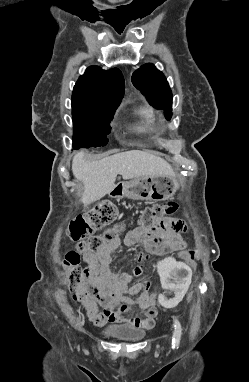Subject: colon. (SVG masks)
Masks as SVG:
<instances>
[{
  "mask_svg": "<svg viewBox=\"0 0 249 382\" xmlns=\"http://www.w3.org/2000/svg\"><path fill=\"white\" fill-rule=\"evenodd\" d=\"M178 208L179 204L174 201L147 206L140 211L137 223L141 228H150L165 216L175 213ZM114 215V205L110 202H105L90 212L77 216L71 222L68 234L70 239L77 243L76 250L67 252L63 258V265L69 272V287L71 290H76L79 287L85 274V269L80 266L81 254L100 251L105 243L126 231L127 225L122 223L107 229L103 235L93 236L86 240V237L90 236L94 230L109 224ZM155 251L156 248L151 249V252ZM181 255L189 261H194L196 254L194 250L189 249L183 251ZM148 256L146 254L142 261H146ZM142 271L143 266L137 267L134 271L137 282L141 280L146 282L148 280V277ZM75 297L78 298V295L76 294ZM151 312H155V309L153 308Z\"/></svg>",
  "mask_w": 249,
  "mask_h": 382,
  "instance_id": "1",
  "label": "colon"
}]
</instances>
